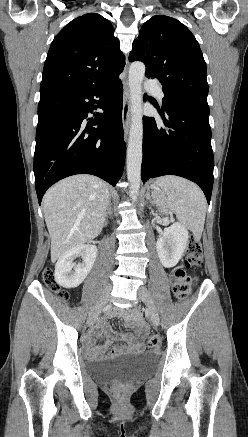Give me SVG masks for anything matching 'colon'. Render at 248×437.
Instances as JSON below:
<instances>
[{
	"mask_svg": "<svg viewBox=\"0 0 248 437\" xmlns=\"http://www.w3.org/2000/svg\"><path fill=\"white\" fill-rule=\"evenodd\" d=\"M202 263V246L200 242L195 239H191L188 242L184 266L178 268L172 275L173 285L172 289L175 296L179 299H184L190 290L192 283L195 281L194 278L190 277L186 273V269L199 266ZM43 280L46 286L54 293L57 294L58 298L62 301L68 300V294L65 291L59 289L54 281V275L51 268H46L43 271ZM160 345V339L156 336H152L147 341V347L149 349H156ZM114 394L118 399H123L125 397V391L121 387H116L114 389Z\"/></svg>",
	"mask_w": 248,
	"mask_h": 437,
	"instance_id": "obj_1",
	"label": "colon"
}]
</instances>
